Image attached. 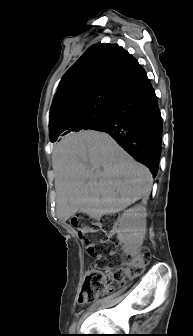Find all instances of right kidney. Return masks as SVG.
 Masks as SVG:
<instances>
[{
	"label": "right kidney",
	"instance_id": "ca27d5eb",
	"mask_svg": "<svg viewBox=\"0 0 193 336\" xmlns=\"http://www.w3.org/2000/svg\"><path fill=\"white\" fill-rule=\"evenodd\" d=\"M146 217L144 204L135 205L122 214L118 224L117 238L123 244L125 251L136 252L141 247L146 234Z\"/></svg>",
	"mask_w": 193,
	"mask_h": 336
}]
</instances>
